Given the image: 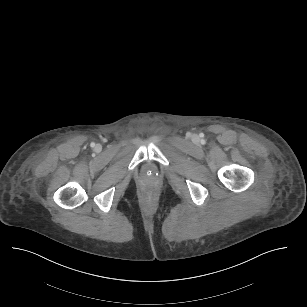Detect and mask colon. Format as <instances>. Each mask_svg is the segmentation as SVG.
Listing matches in <instances>:
<instances>
[{"mask_svg":"<svg viewBox=\"0 0 307 307\" xmlns=\"http://www.w3.org/2000/svg\"><path fill=\"white\" fill-rule=\"evenodd\" d=\"M142 196L145 200L147 201H152L156 198L157 196V191L154 187L152 186H147L143 189L142 191Z\"/></svg>","mask_w":307,"mask_h":307,"instance_id":"colon-1","label":"colon"}]
</instances>
